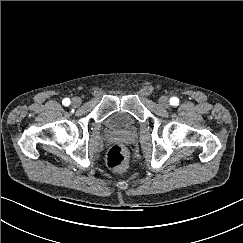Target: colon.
Returning <instances> with one entry per match:
<instances>
[{"mask_svg": "<svg viewBox=\"0 0 243 243\" xmlns=\"http://www.w3.org/2000/svg\"><path fill=\"white\" fill-rule=\"evenodd\" d=\"M106 162L113 171H124L127 167V153L121 145H113L107 153Z\"/></svg>", "mask_w": 243, "mask_h": 243, "instance_id": "5ec220e1", "label": "colon"}]
</instances>
